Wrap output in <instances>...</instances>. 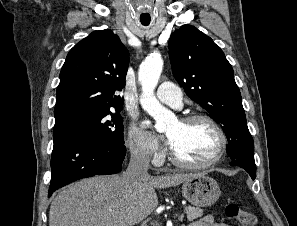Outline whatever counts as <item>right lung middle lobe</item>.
<instances>
[{"label":"right lung middle lobe","mask_w":297,"mask_h":226,"mask_svg":"<svg viewBox=\"0 0 297 226\" xmlns=\"http://www.w3.org/2000/svg\"><path fill=\"white\" fill-rule=\"evenodd\" d=\"M113 110L83 111L56 120L54 132L75 130L123 144V119Z\"/></svg>","instance_id":"1"}]
</instances>
